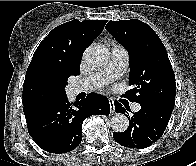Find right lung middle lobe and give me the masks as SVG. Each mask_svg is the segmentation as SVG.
<instances>
[{
  "instance_id": "1",
  "label": "right lung middle lobe",
  "mask_w": 196,
  "mask_h": 166,
  "mask_svg": "<svg viewBox=\"0 0 196 166\" xmlns=\"http://www.w3.org/2000/svg\"><path fill=\"white\" fill-rule=\"evenodd\" d=\"M67 78L39 70L23 86V106L60 98L66 95Z\"/></svg>"
}]
</instances>
